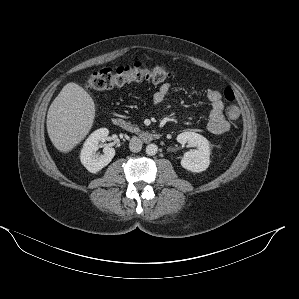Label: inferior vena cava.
Masks as SVG:
<instances>
[{"mask_svg": "<svg viewBox=\"0 0 299 299\" xmlns=\"http://www.w3.org/2000/svg\"><path fill=\"white\" fill-rule=\"evenodd\" d=\"M129 149L135 153L141 151V149H142L141 139H139L137 137H133L129 142Z\"/></svg>", "mask_w": 299, "mask_h": 299, "instance_id": "inferior-vena-cava-1", "label": "inferior vena cava"}]
</instances>
